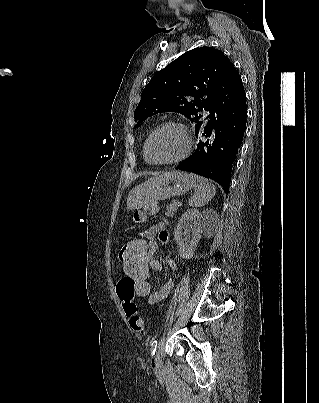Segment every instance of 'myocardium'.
I'll use <instances>...</instances> for the list:
<instances>
[{
	"instance_id": "obj_1",
	"label": "myocardium",
	"mask_w": 319,
	"mask_h": 403,
	"mask_svg": "<svg viewBox=\"0 0 319 403\" xmlns=\"http://www.w3.org/2000/svg\"><path fill=\"white\" fill-rule=\"evenodd\" d=\"M167 127H175L182 132V134L184 136V141H185L184 148H183L182 152L174 158H171L168 160H163V161H154L149 156L150 143H151L152 139L154 138V136L160 130L167 128ZM191 149H192V137H191V134H190L187 126L181 122L169 120V121H165V122L159 124L149 134V136L146 139L145 145H144V156H145L146 161L149 162L150 164H154V165L176 164V163H179V162L185 160L190 155Z\"/></svg>"
}]
</instances>
